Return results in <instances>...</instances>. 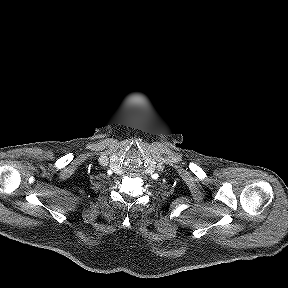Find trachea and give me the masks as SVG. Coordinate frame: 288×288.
<instances>
[{"mask_svg": "<svg viewBox=\"0 0 288 288\" xmlns=\"http://www.w3.org/2000/svg\"><path fill=\"white\" fill-rule=\"evenodd\" d=\"M139 161H140L139 155L134 151H130L126 157L125 164L129 167H135L138 165Z\"/></svg>", "mask_w": 288, "mask_h": 288, "instance_id": "3493384b", "label": "trachea"}]
</instances>
